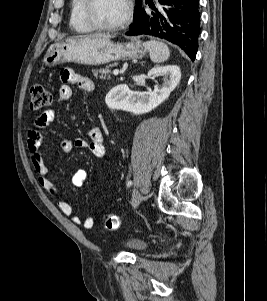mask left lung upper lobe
<instances>
[{"instance_id": "obj_1", "label": "left lung upper lobe", "mask_w": 267, "mask_h": 301, "mask_svg": "<svg viewBox=\"0 0 267 301\" xmlns=\"http://www.w3.org/2000/svg\"><path fill=\"white\" fill-rule=\"evenodd\" d=\"M136 8L134 9V14L140 9L142 5V0H136Z\"/></svg>"}]
</instances>
